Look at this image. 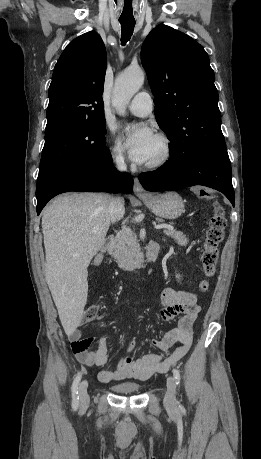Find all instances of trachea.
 Returning a JSON list of instances; mask_svg holds the SVG:
<instances>
[{
    "label": "trachea",
    "mask_w": 261,
    "mask_h": 459,
    "mask_svg": "<svg viewBox=\"0 0 261 459\" xmlns=\"http://www.w3.org/2000/svg\"><path fill=\"white\" fill-rule=\"evenodd\" d=\"M121 44L125 45L131 38L135 26V20H120Z\"/></svg>",
    "instance_id": "3493384b"
}]
</instances>
